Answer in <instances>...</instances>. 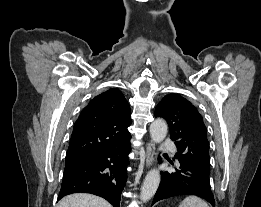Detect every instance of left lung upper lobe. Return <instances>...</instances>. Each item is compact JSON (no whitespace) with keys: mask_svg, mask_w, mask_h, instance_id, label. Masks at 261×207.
Instances as JSON below:
<instances>
[{"mask_svg":"<svg viewBox=\"0 0 261 207\" xmlns=\"http://www.w3.org/2000/svg\"><path fill=\"white\" fill-rule=\"evenodd\" d=\"M155 116L163 117L169 125L178 150L175 157L209 172L207 130L195 106L178 94H169L156 106Z\"/></svg>","mask_w":261,"mask_h":207,"instance_id":"1","label":"left lung upper lobe"}]
</instances>
